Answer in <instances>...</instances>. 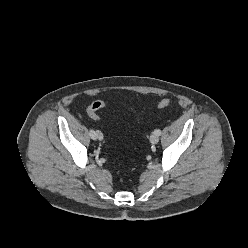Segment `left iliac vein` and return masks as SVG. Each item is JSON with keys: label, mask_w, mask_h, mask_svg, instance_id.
<instances>
[{"label": "left iliac vein", "mask_w": 248, "mask_h": 248, "mask_svg": "<svg viewBox=\"0 0 248 248\" xmlns=\"http://www.w3.org/2000/svg\"><path fill=\"white\" fill-rule=\"evenodd\" d=\"M159 141V136L155 133H153L151 136H150V142L152 144H157Z\"/></svg>", "instance_id": "obj_1"}]
</instances>
